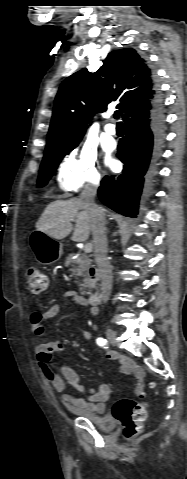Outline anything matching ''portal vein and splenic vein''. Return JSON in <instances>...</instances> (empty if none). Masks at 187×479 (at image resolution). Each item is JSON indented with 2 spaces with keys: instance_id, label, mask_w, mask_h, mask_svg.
Here are the masks:
<instances>
[{
  "instance_id": "1",
  "label": "portal vein and splenic vein",
  "mask_w": 187,
  "mask_h": 479,
  "mask_svg": "<svg viewBox=\"0 0 187 479\" xmlns=\"http://www.w3.org/2000/svg\"><path fill=\"white\" fill-rule=\"evenodd\" d=\"M92 251V245L91 244H86L84 246V252L85 253H90Z\"/></svg>"
}]
</instances>
